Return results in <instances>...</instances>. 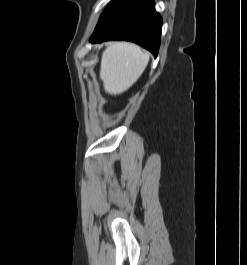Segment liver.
Returning a JSON list of instances; mask_svg holds the SVG:
<instances>
[{"instance_id":"obj_1","label":"liver","mask_w":247,"mask_h":265,"mask_svg":"<svg viewBox=\"0 0 247 265\" xmlns=\"http://www.w3.org/2000/svg\"><path fill=\"white\" fill-rule=\"evenodd\" d=\"M149 55L133 43H109L102 54L100 68L105 92L117 95L129 89L144 72Z\"/></svg>"}]
</instances>
